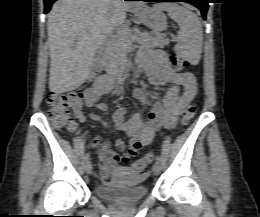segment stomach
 Masks as SVG:
<instances>
[{
    "label": "stomach",
    "mask_w": 260,
    "mask_h": 217,
    "mask_svg": "<svg viewBox=\"0 0 260 217\" xmlns=\"http://www.w3.org/2000/svg\"><path fill=\"white\" fill-rule=\"evenodd\" d=\"M134 13L145 26L153 31H163L167 27L166 17L157 6L141 5L134 9Z\"/></svg>",
    "instance_id": "1"
}]
</instances>
